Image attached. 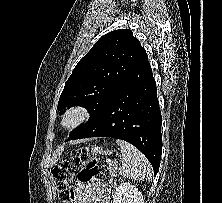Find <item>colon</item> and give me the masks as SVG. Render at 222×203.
Masks as SVG:
<instances>
[{
    "label": "colon",
    "mask_w": 222,
    "mask_h": 203,
    "mask_svg": "<svg viewBox=\"0 0 222 203\" xmlns=\"http://www.w3.org/2000/svg\"><path fill=\"white\" fill-rule=\"evenodd\" d=\"M82 183H89L100 175L98 161L89 155L87 149L80 148L72 153L71 159L63 161L52 169L56 190L63 203H71L73 196L72 180L76 174Z\"/></svg>",
    "instance_id": "1"
}]
</instances>
